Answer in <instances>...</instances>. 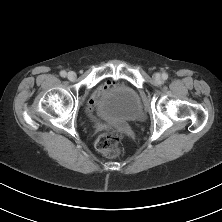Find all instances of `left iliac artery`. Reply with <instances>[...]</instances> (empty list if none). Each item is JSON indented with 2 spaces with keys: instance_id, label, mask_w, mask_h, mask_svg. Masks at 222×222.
I'll use <instances>...</instances> for the list:
<instances>
[{
  "instance_id": "1",
  "label": "left iliac artery",
  "mask_w": 222,
  "mask_h": 222,
  "mask_svg": "<svg viewBox=\"0 0 222 222\" xmlns=\"http://www.w3.org/2000/svg\"><path fill=\"white\" fill-rule=\"evenodd\" d=\"M162 78H163L164 80H167L168 75H167L166 73H163V74H162Z\"/></svg>"
}]
</instances>
